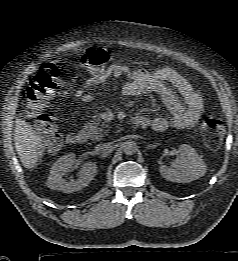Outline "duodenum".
<instances>
[{"instance_id":"obj_1","label":"duodenum","mask_w":238,"mask_h":261,"mask_svg":"<svg viewBox=\"0 0 238 261\" xmlns=\"http://www.w3.org/2000/svg\"><path fill=\"white\" fill-rule=\"evenodd\" d=\"M132 123L135 127H141L146 124V120L143 117H135ZM84 141H85V136L81 133H70L66 138L67 144L71 146L82 145Z\"/></svg>"}]
</instances>
